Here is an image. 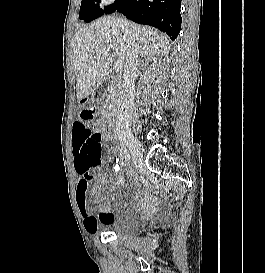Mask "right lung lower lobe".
Instances as JSON below:
<instances>
[{"instance_id": "obj_1", "label": "right lung lower lobe", "mask_w": 265, "mask_h": 273, "mask_svg": "<svg viewBox=\"0 0 265 273\" xmlns=\"http://www.w3.org/2000/svg\"><path fill=\"white\" fill-rule=\"evenodd\" d=\"M115 11L139 24L158 28L172 40L180 32V0H119Z\"/></svg>"}]
</instances>
